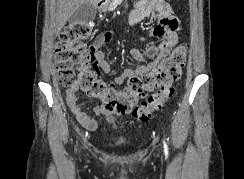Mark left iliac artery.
I'll return each mask as SVG.
<instances>
[{"instance_id":"1","label":"left iliac artery","mask_w":244,"mask_h":179,"mask_svg":"<svg viewBox=\"0 0 244 179\" xmlns=\"http://www.w3.org/2000/svg\"><path fill=\"white\" fill-rule=\"evenodd\" d=\"M164 148H165V153L168 154V151H167L168 149H167V145L165 142H164Z\"/></svg>"}]
</instances>
